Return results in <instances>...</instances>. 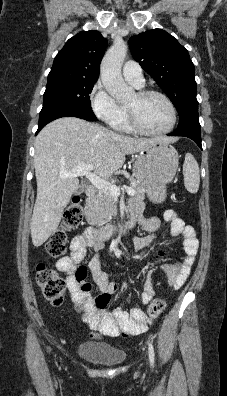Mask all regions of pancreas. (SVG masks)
Listing matches in <instances>:
<instances>
[{
  "label": "pancreas",
  "instance_id": "obj_1",
  "mask_svg": "<svg viewBox=\"0 0 227 396\" xmlns=\"http://www.w3.org/2000/svg\"><path fill=\"white\" fill-rule=\"evenodd\" d=\"M130 181V187L135 190V196L144 198V189L139 182L133 178H131ZM115 201V196L99 190L95 198L88 201L86 204L85 216L87 222L93 226L107 224L115 213Z\"/></svg>",
  "mask_w": 227,
  "mask_h": 396
}]
</instances>
